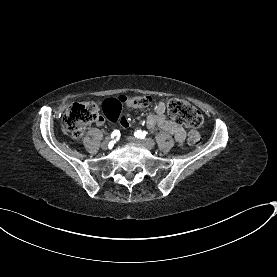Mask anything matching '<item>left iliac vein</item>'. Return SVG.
<instances>
[{
  "label": "left iliac vein",
  "mask_w": 277,
  "mask_h": 277,
  "mask_svg": "<svg viewBox=\"0 0 277 277\" xmlns=\"http://www.w3.org/2000/svg\"><path fill=\"white\" fill-rule=\"evenodd\" d=\"M128 141L143 145L148 149H152L155 146L154 140H152L150 138L138 139V138H135V137H128Z\"/></svg>",
  "instance_id": "1"
}]
</instances>
